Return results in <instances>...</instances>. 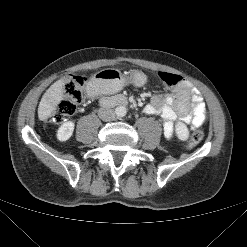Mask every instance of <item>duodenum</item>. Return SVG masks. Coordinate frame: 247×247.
<instances>
[{
	"label": "duodenum",
	"instance_id": "duodenum-1",
	"mask_svg": "<svg viewBox=\"0 0 247 247\" xmlns=\"http://www.w3.org/2000/svg\"><path fill=\"white\" fill-rule=\"evenodd\" d=\"M100 105L105 107V108L126 106L127 105V98L123 95L103 97L100 100Z\"/></svg>",
	"mask_w": 247,
	"mask_h": 247
}]
</instances>
